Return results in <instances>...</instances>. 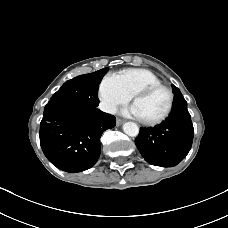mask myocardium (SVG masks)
<instances>
[{"label":"myocardium","instance_id":"obj_1","mask_svg":"<svg viewBox=\"0 0 228 228\" xmlns=\"http://www.w3.org/2000/svg\"><path fill=\"white\" fill-rule=\"evenodd\" d=\"M159 89H164L167 91V93L169 95L168 106L160 116H158L154 119L141 118V121L146 125L159 124L169 116L170 112L172 111L173 105H174V93L168 86L160 83V84H153V85L145 86V87L139 89L138 91H136L132 96V100H133V102H135L137 99L145 97V96L149 95L150 93H152L156 90H159Z\"/></svg>","mask_w":228,"mask_h":228}]
</instances>
